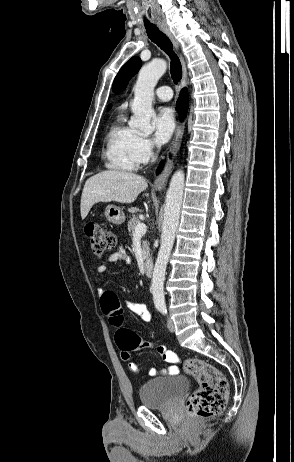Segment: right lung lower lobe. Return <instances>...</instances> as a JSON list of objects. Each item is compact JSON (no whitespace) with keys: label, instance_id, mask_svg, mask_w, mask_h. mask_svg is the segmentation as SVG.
I'll return each instance as SVG.
<instances>
[{"label":"right lung lower lobe","instance_id":"right-lung-lower-lobe-1","mask_svg":"<svg viewBox=\"0 0 294 462\" xmlns=\"http://www.w3.org/2000/svg\"><path fill=\"white\" fill-rule=\"evenodd\" d=\"M187 108H188V96H187L186 90L183 89L177 101V109L181 115V118L185 116ZM158 172H160V169L158 170Z\"/></svg>","mask_w":294,"mask_h":462}]
</instances>
